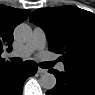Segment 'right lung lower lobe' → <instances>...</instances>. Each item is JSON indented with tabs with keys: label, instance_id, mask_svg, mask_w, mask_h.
I'll return each mask as SVG.
<instances>
[{
	"label": "right lung lower lobe",
	"instance_id": "1",
	"mask_svg": "<svg viewBox=\"0 0 95 95\" xmlns=\"http://www.w3.org/2000/svg\"><path fill=\"white\" fill-rule=\"evenodd\" d=\"M36 72L37 64L31 60L0 69V95H21L25 80Z\"/></svg>",
	"mask_w": 95,
	"mask_h": 95
}]
</instances>
